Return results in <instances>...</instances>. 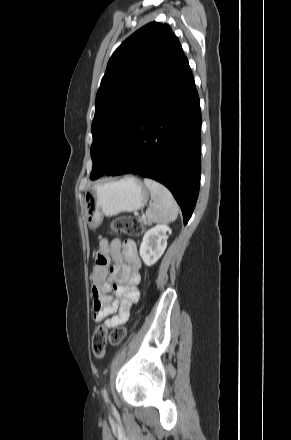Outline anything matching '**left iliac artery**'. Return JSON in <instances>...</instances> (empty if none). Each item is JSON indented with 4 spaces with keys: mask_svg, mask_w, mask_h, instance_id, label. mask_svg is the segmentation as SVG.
<instances>
[{
    "mask_svg": "<svg viewBox=\"0 0 291 440\" xmlns=\"http://www.w3.org/2000/svg\"><path fill=\"white\" fill-rule=\"evenodd\" d=\"M102 394H103V397H104L106 403L110 402V401H109L108 394H107V390H106L105 387L102 389Z\"/></svg>",
    "mask_w": 291,
    "mask_h": 440,
    "instance_id": "left-iliac-artery-1",
    "label": "left iliac artery"
}]
</instances>
